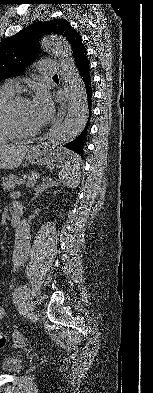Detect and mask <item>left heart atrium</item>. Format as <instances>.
Listing matches in <instances>:
<instances>
[{
    "mask_svg": "<svg viewBox=\"0 0 153 393\" xmlns=\"http://www.w3.org/2000/svg\"><path fill=\"white\" fill-rule=\"evenodd\" d=\"M32 115L35 124L45 123L52 115V105L48 97L39 94L34 101L32 107Z\"/></svg>",
    "mask_w": 153,
    "mask_h": 393,
    "instance_id": "1",
    "label": "left heart atrium"
}]
</instances>
